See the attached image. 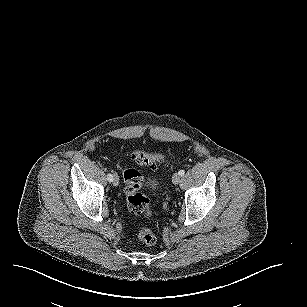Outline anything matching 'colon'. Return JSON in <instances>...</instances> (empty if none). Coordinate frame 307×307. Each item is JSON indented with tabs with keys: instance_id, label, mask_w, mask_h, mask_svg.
Listing matches in <instances>:
<instances>
[{
	"instance_id": "5ec220e1",
	"label": "colon",
	"mask_w": 307,
	"mask_h": 307,
	"mask_svg": "<svg viewBox=\"0 0 307 307\" xmlns=\"http://www.w3.org/2000/svg\"><path fill=\"white\" fill-rule=\"evenodd\" d=\"M131 154L136 163L143 166H157L164 162V157L161 154L143 150H134ZM123 178L128 209L133 214L149 220L153 214V207L149 198L140 191L143 181L141 174L135 169L127 168L123 171ZM137 236L141 242L148 246L156 243V236L148 224H143L138 228Z\"/></svg>"
}]
</instances>
